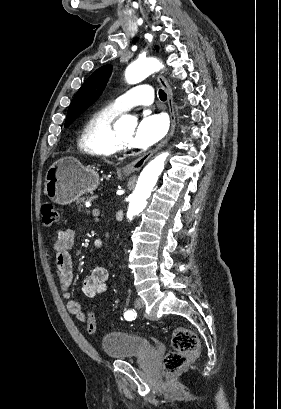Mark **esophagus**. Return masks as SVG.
I'll return each mask as SVG.
<instances>
[{"mask_svg": "<svg viewBox=\"0 0 281 409\" xmlns=\"http://www.w3.org/2000/svg\"><path fill=\"white\" fill-rule=\"evenodd\" d=\"M158 82L160 85L165 89L167 93V103H168V108H169V114H170V129L166 135V137L152 150H149L146 152V154L142 155V157H139V159L134 160L133 162H130V164H127L123 168V172L125 173H132L136 172L137 170H140L143 165L147 162V160L155 153L157 150L161 149L163 145H165L168 140L172 137L175 126H176V117H175V111H174V101H173V95H172V89L167 82L166 78L163 77V75H158L157 77Z\"/></svg>", "mask_w": 281, "mask_h": 409, "instance_id": "esophagus-1", "label": "esophagus"}]
</instances>
